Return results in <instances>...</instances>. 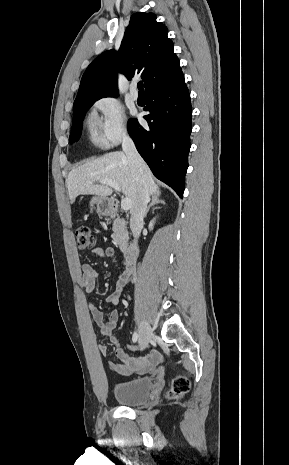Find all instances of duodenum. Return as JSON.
<instances>
[{
	"label": "duodenum",
	"instance_id": "duodenum-1",
	"mask_svg": "<svg viewBox=\"0 0 289 465\" xmlns=\"http://www.w3.org/2000/svg\"><path fill=\"white\" fill-rule=\"evenodd\" d=\"M118 209V202L116 200H112L109 206L110 214H116ZM139 255V248L136 243H131L124 251L125 261L128 265L134 264Z\"/></svg>",
	"mask_w": 289,
	"mask_h": 465
}]
</instances>
